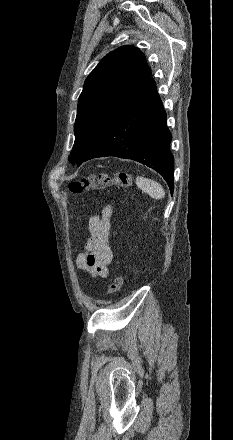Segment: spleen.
<instances>
[{"label":"spleen","instance_id":"spleen-1","mask_svg":"<svg viewBox=\"0 0 233 440\" xmlns=\"http://www.w3.org/2000/svg\"><path fill=\"white\" fill-rule=\"evenodd\" d=\"M136 185L154 199H162L165 196V191L163 187L154 180L142 176H137Z\"/></svg>","mask_w":233,"mask_h":440}]
</instances>
